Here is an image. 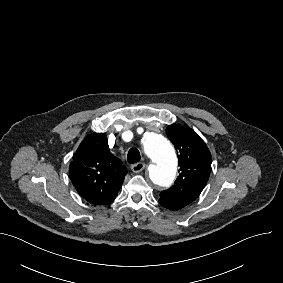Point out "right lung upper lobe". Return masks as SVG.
<instances>
[{
	"label": "right lung upper lobe",
	"instance_id": "right-lung-upper-lobe-1",
	"mask_svg": "<svg viewBox=\"0 0 283 283\" xmlns=\"http://www.w3.org/2000/svg\"><path fill=\"white\" fill-rule=\"evenodd\" d=\"M126 174V167L112 155L106 135L101 133H93L80 143L69 167L77 192L93 205L112 202Z\"/></svg>",
	"mask_w": 283,
	"mask_h": 283
}]
</instances>
